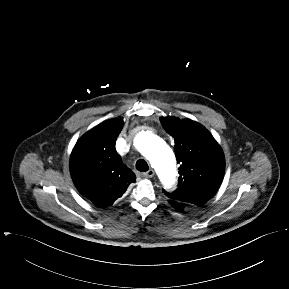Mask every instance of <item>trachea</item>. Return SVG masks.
Instances as JSON below:
<instances>
[{"label":"trachea","mask_w":289,"mask_h":289,"mask_svg":"<svg viewBox=\"0 0 289 289\" xmlns=\"http://www.w3.org/2000/svg\"><path fill=\"white\" fill-rule=\"evenodd\" d=\"M136 169L138 171L145 172L149 170V166L145 160L140 159L136 162Z\"/></svg>","instance_id":"obj_1"}]
</instances>
